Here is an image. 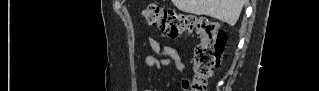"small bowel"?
I'll use <instances>...</instances> for the list:
<instances>
[{
	"instance_id": "1",
	"label": "small bowel",
	"mask_w": 319,
	"mask_h": 91,
	"mask_svg": "<svg viewBox=\"0 0 319 91\" xmlns=\"http://www.w3.org/2000/svg\"><path fill=\"white\" fill-rule=\"evenodd\" d=\"M149 45L154 51V55H150L146 58V67L172 66L179 72L184 71L185 65L182 61V55L178 50L172 47H166L160 41L153 38L149 40Z\"/></svg>"
}]
</instances>
